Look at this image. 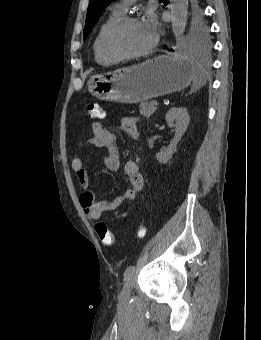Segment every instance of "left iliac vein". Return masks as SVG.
<instances>
[{"label": "left iliac vein", "mask_w": 261, "mask_h": 340, "mask_svg": "<svg viewBox=\"0 0 261 340\" xmlns=\"http://www.w3.org/2000/svg\"><path fill=\"white\" fill-rule=\"evenodd\" d=\"M133 284H134V279L133 277L130 278L124 285L121 293H120V301L121 302H125L127 301L129 298H130V295H131V291H132V288H133Z\"/></svg>", "instance_id": "4c4485c4"}]
</instances>
